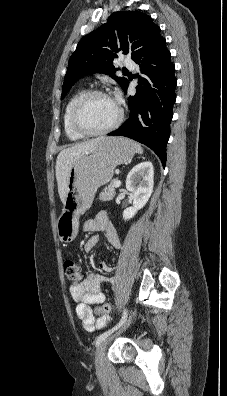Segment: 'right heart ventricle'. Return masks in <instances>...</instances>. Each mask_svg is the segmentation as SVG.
<instances>
[{"label":"right heart ventricle","mask_w":227,"mask_h":396,"mask_svg":"<svg viewBox=\"0 0 227 396\" xmlns=\"http://www.w3.org/2000/svg\"><path fill=\"white\" fill-rule=\"evenodd\" d=\"M83 93L82 90L77 91L67 102L64 112H63V128L65 135L71 141H78L85 137V135L77 132L71 123V112L73 105L77 98Z\"/></svg>","instance_id":"right-heart-ventricle-1"}]
</instances>
